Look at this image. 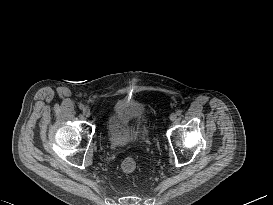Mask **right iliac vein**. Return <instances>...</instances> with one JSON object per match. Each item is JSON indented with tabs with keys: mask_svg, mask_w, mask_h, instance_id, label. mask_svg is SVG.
<instances>
[{
	"mask_svg": "<svg viewBox=\"0 0 273 205\" xmlns=\"http://www.w3.org/2000/svg\"><path fill=\"white\" fill-rule=\"evenodd\" d=\"M83 114H84L85 117H90V115H91L90 109L89 108H84L83 109Z\"/></svg>",
	"mask_w": 273,
	"mask_h": 205,
	"instance_id": "63e3f726",
	"label": "right iliac vein"
}]
</instances>
